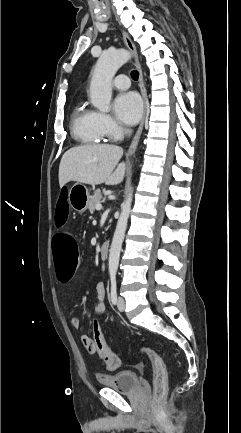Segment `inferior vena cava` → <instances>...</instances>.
<instances>
[{
  "label": "inferior vena cava",
  "instance_id": "inferior-vena-cava-1",
  "mask_svg": "<svg viewBox=\"0 0 241 433\" xmlns=\"http://www.w3.org/2000/svg\"><path fill=\"white\" fill-rule=\"evenodd\" d=\"M127 132H128V133H131V130H128Z\"/></svg>",
  "mask_w": 241,
  "mask_h": 433
}]
</instances>
